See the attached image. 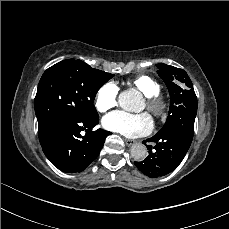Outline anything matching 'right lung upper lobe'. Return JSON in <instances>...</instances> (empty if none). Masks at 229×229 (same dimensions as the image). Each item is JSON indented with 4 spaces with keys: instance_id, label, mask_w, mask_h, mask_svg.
<instances>
[{
    "instance_id": "cb5924a9",
    "label": "right lung upper lobe",
    "mask_w": 229,
    "mask_h": 229,
    "mask_svg": "<svg viewBox=\"0 0 229 229\" xmlns=\"http://www.w3.org/2000/svg\"><path fill=\"white\" fill-rule=\"evenodd\" d=\"M106 73V72H105ZM108 76H111V74H109V73H106Z\"/></svg>"
}]
</instances>
